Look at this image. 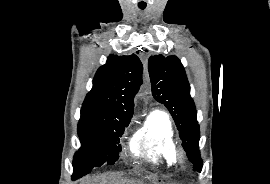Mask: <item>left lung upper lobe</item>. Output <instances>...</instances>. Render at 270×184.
Masks as SVG:
<instances>
[{
  "label": "left lung upper lobe",
  "instance_id": "obj_1",
  "mask_svg": "<svg viewBox=\"0 0 270 184\" xmlns=\"http://www.w3.org/2000/svg\"><path fill=\"white\" fill-rule=\"evenodd\" d=\"M148 69L152 86V95L166 106L171 113L182 146L189 160L198 172L202 169L199 152L200 131L197 122L195 104L190 96V86L185 70L176 56L165 58L163 55L151 56Z\"/></svg>",
  "mask_w": 270,
  "mask_h": 184
}]
</instances>
